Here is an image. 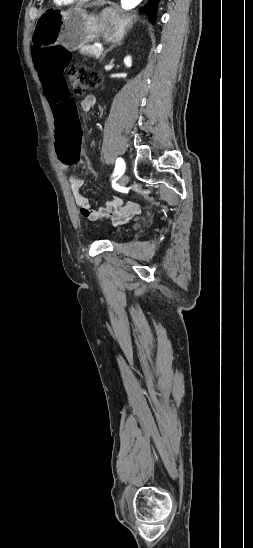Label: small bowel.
<instances>
[{
    "label": "small bowel",
    "mask_w": 253,
    "mask_h": 548,
    "mask_svg": "<svg viewBox=\"0 0 253 548\" xmlns=\"http://www.w3.org/2000/svg\"><path fill=\"white\" fill-rule=\"evenodd\" d=\"M35 57V56H34ZM68 63V61H66ZM48 96H46L47 99ZM96 99L93 95L86 96L80 103V107L83 111H90L94 108ZM51 107V105H50ZM52 110V108H51ZM57 128V127H56ZM60 166L63 169H67L68 165H63V160L58 159ZM69 183L71 186L72 194L74 196L77 206L80 208L81 214L88 219L95 220L100 217L109 218L114 223L121 224L127 222L131 217L140 212V205L137 202L129 201L124 203L120 198L114 197L108 208H101L94 210L88 198L83 195L82 187L84 186L85 179L83 177L69 176Z\"/></svg>",
    "instance_id": "c3829d8e"
}]
</instances>
